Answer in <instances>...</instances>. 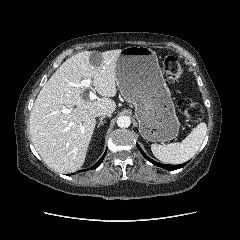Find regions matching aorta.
I'll use <instances>...</instances> for the list:
<instances>
[{"label":"aorta","mask_w":240,"mask_h":240,"mask_svg":"<svg viewBox=\"0 0 240 240\" xmlns=\"http://www.w3.org/2000/svg\"><path fill=\"white\" fill-rule=\"evenodd\" d=\"M130 124H131V119L129 116L123 115V116L118 117V119H117V125L120 128H127L130 126Z\"/></svg>","instance_id":"762f6f07"}]
</instances>
